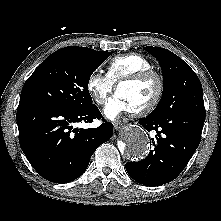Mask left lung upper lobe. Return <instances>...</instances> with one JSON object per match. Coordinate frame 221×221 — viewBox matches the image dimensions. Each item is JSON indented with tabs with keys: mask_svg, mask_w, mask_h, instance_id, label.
Returning <instances> with one entry per match:
<instances>
[{
	"mask_svg": "<svg viewBox=\"0 0 221 221\" xmlns=\"http://www.w3.org/2000/svg\"><path fill=\"white\" fill-rule=\"evenodd\" d=\"M158 61L163 73V94L150 116L179 111L205 115L202 85L192 68L177 55L164 48L144 47Z\"/></svg>",
	"mask_w": 221,
	"mask_h": 221,
	"instance_id": "1",
	"label": "left lung upper lobe"
}]
</instances>
